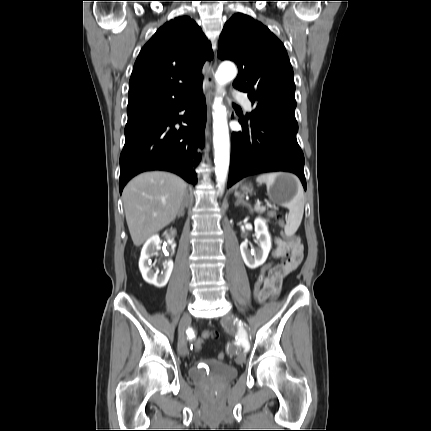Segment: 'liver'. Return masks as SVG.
<instances>
[{
  "mask_svg": "<svg viewBox=\"0 0 431 431\" xmlns=\"http://www.w3.org/2000/svg\"><path fill=\"white\" fill-rule=\"evenodd\" d=\"M186 189L187 184L180 177L161 171L142 173L125 186L123 206L135 246L175 220Z\"/></svg>",
  "mask_w": 431,
  "mask_h": 431,
  "instance_id": "6515ba94",
  "label": "liver"
}]
</instances>
